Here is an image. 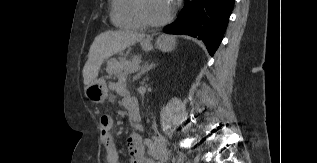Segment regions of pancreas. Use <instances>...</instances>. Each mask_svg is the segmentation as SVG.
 <instances>
[{
	"label": "pancreas",
	"mask_w": 317,
	"mask_h": 163,
	"mask_svg": "<svg viewBox=\"0 0 317 163\" xmlns=\"http://www.w3.org/2000/svg\"><path fill=\"white\" fill-rule=\"evenodd\" d=\"M140 63V57L136 56L132 60L120 58L119 60L112 58L107 62L108 78H116L122 75L123 71L132 69L135 65Z\"/></svg>",
	"instance_id": "1"
}]
</instances>
